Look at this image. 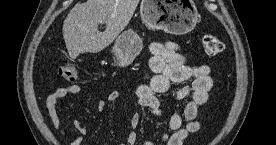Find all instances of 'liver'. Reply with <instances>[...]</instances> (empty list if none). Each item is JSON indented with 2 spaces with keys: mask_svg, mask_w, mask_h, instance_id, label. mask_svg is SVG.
Listing matches in <instances>:
<instances>
[{
  "mask_svg": "<svg viewBox=\"0 0 276 145\" xmlns=\"http://www.w3.org/2000/svg\"><path fill=\"white\" fill-rule=\"evenodd\" d=\"M140 0H87L77 3L63 23V37L72 59L81 53H98L128 25ZM105 23L104 32L98 25Z\"/></svg>",
  "mask_w": 276,
  "mask_h": 145,
  "instance_id": "1",
  "label": "liver"
}]
</instances>
